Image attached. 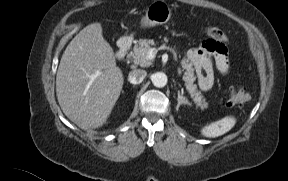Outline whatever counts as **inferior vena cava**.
I'll list each match as a JSON object with an SVG mask.
<instances>
[{
  "instance_id": "obj_1",
  "label": "inferior vena cava",
  "mask_w": 288,
  "mask_h": 181,
  "mask_svg": "<svg viewBox=\"0 0 288 181\" xmlns=\"http://www.w3.org/2000/svg\"><path fill=\"white\" fill-rule=\"evenodd\" d=\"M146 76L147 72L145 70L135 69L129 72L128 80L132 84H140Z\"/></svg>"
}]
</instances>
